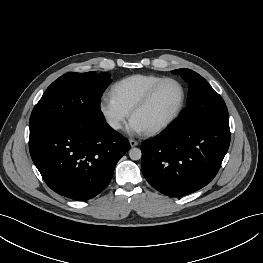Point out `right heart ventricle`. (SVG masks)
I'll return each mask as SVG.
<instances>
[{"mask_svg":"<svg viewBox=\"0 0 263 263\" xmlns=\"http://www.w3.org/2000/svg\"><path fill=\"white\" fill-rule=\"evenodd\" d=\"M162 76L153 74H135L115 82L110 94L116 102L128 112L143 97V95L159 80Z\"/></svg>","mask_w":263,"mask_h":263,"instance_id":"obj_1","label":"right heart ventricle"}]
</instances>
